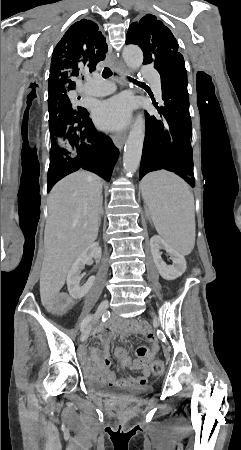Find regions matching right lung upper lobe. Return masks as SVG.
I'll return each mask as SVG.
<instances>
[{"instance_id":"right-lung-upper-lobe-1","label":"right lung upper lobe","mask_w":241,"mask_h":450,"mask_svg":"<svg viewBox=\"0 0 241 450\" xmlns=\"http://www.w3.org/2000/svg\"><path fill=\"white\" fill-rule=\"evenodd\" d=\"M108 46L98 25L87 19L74 23L56 45L50 67L48 100L68 96L82 74L93 72Z\"/></svg>"}]
</instances>
